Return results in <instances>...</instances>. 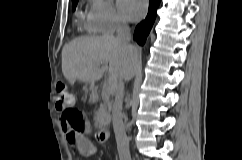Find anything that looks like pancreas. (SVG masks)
Returning a JSON list of instances; mask_svg holds the SVG:
<instances>
[{"mask_svg": "<svg viewBox=\"0 0 242 160\" xmlns=\"http://www.w3.org/2000/svg\"><path fill=\"white\" fill-rule=\"evenodd\" d=\"M111 115H110V106L107 99L103 98V102L100 104V107L95 112L94 122L95 127L102 128L110 124Z\"/></svg>", "mask_w": 242, "mask_h": 160, "instance_id": "obj_1", "label": "pancreas"}]
</instances>
